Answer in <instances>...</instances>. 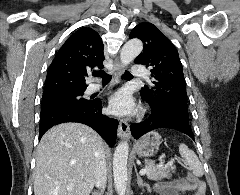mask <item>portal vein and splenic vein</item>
<instances>
[{
  "instance_id": "18ae733b",
  "label": "portal vein and splenic vein",
  "mask_w": 240,
  "mask_h": 195,
  "mask_svg": "<svg viewBox=\"0 0 240 195\" xmlns=\"http://www.w3.org/2000/svg\"><path fill=\"white\" fill-rule=\"evenodd\" d=\"M163 163H165L164 159H160V165H157L158 169L162 167ZM140 175H144V173H148V169H140Z\"/></svg>"
}]
</instances>
